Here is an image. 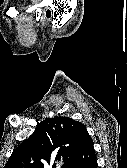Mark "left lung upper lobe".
Segmentation results:
<instances>
[{
  "mask_svg": "<svg viewBox=\"0 0 127 168\" xmlns=\"http://www.w3.org/2000/svg\"><path fill=\"white\" fill-rule=\"evenodd\" d=\"M89 137L85 126L69 117L46 118L12 153L4 168H74L78 153Z\"/></svg>",
  "mask_w": 127,
  "mask_h": 168,
  "instance_id": "obj_1",
  "label": "left lung upper lobe"
}]
</instances>
